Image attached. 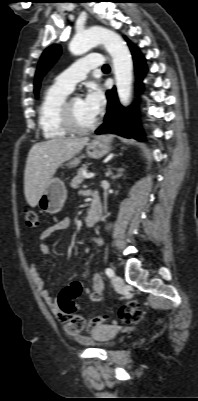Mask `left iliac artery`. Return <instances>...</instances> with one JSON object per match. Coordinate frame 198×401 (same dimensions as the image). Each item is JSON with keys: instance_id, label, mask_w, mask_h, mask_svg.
<instances>
[{"instance_id": "44dca946", "label": "left iliac artery", "mask_w": 198, "mask_h": 401, "mask_svg": "<svg viewBox=\"0 0 198 401\" xmlns=\"http://www.w3.org/2000/svg\"><path fill=\"white\" fill-rule=\"evenodd\" d=\"M105 273L110 278L114 276V271L111 268H106Z\"/></svg>"}]
</instances>
